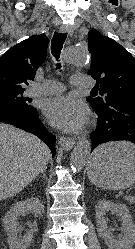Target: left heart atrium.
<instances>
[{
	"instance_id": "39dd6f15",
	"label": "left heart atrium",
	"mask_w": 135,
	"mask_h": 249,
	"mask_svg": "<svg viewBox=\"0 0 135 249\" xmlns=\"http://www.w3.org/2000/svg\"><path fill=\"white\" fill-rule=\"evenodd\" d=\"M44 113L53 126L65 131H77L87 121L85 104L71 95L47 100L44 105Z\"/></svg>"
}]
</instances>
